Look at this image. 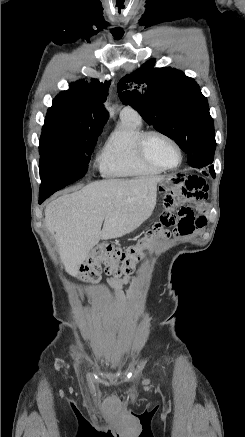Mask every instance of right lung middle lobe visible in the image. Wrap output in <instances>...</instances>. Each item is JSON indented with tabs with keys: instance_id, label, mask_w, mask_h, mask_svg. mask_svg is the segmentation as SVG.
<instances>
[{
	"instance_id": "obj_1",
	"label": "right lung middle lobe",
	"mask_w": 245,
	"mask_h": 437,
	"mask_svg": "<svg viewBox=\"0 0 245 437\" xmlns=\"http://www.w3.org/2000/svg\"><path fill=\"white\" fill-rule=\"evenodd\" d=\"M103 125L48 112L40 137V177L82 178Z\"/></svg>"
}]
</instances>
